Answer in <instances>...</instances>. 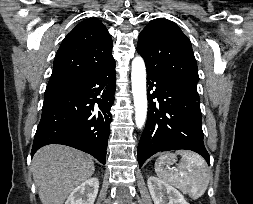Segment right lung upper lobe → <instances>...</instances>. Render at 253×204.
Masks as SVG:
<instances>
[{"label":"right lung upper lobe","instance_id":"right-lung-upper-lobe-1","mask_svg":"<svg viewBox=\"0 0 253 204\" xmlns=\"http://www.w3.org/2000/svg\"><path fill=\"white\" fill-rule=\"evenodd\" d=\"M111 51V36L100 20L80 22L60 45L49 83H62L113 64Z\"/></svg>","mask_w":253,"mask_h":204}]
</instances>
